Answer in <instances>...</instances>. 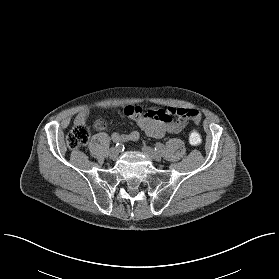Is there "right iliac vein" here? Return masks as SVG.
Listing matches in <instances>:
<instances>
[{
  "label": "right iliac vein",
  "mask_w": 279,
  "mask_h": 279,
  "mask_svg": "<svg viewBox=\"0 0 279 279\" xmlns=\"http://www.w3.org/2000/svg\"><path fill=\"white\" fill-rule=\"evenodd\" d=\"M118 154H119V149L116 148V147H112V148L110 149V151H109V156H110L112 159L117 158Z\"/></svg>",
  "instance_id": "63e3f726"
}]
</instances>
